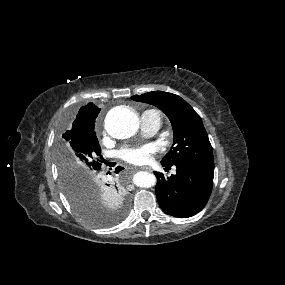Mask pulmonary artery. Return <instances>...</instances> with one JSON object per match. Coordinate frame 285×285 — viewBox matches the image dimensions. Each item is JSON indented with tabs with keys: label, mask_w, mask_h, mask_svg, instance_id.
Wrapping results in <instances>:
<instances>
[{
	"label": "pulmonary artery",
	"mask_w": 285,
	"mask_h": 285,
	"mask_svg": "<svg viewBox=\"0 0 285 285\" xmlns=\"http://www.w3.org/2000/svg\"><path fill=\"white\" fill-rule=\"evenodd\" d=\"M161 126V114L156 110H147L141 116V127L145 134H155Z\"/></svg>",
	"instance_id": "e3ab8cb5"
}]
</instances>
